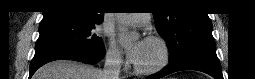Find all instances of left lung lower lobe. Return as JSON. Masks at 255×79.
Returning a JSON list of instances; mask_svg holds the SVG:
<instances>
[{
  "label": "left lung lower lobe",
  "mask_w": 255,
  "mask_h": 79,
  "mask_svg": "<svg viewBox=\"0 0 255 79\" xmlns=\"http://www.w3.org/2000/svg\"><path fill=\"white\" fill-rule=\"evenodd\" d=\"M181 70H198L215 79H223L221 65L216 55V47H200L195 49L147 79H159Z\"/></svg>",
  "instance_id": "0a47b994"
}]
</instances>
